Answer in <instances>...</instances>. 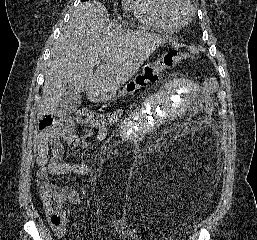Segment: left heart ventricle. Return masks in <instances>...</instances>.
I'll return each instance as SVG.
<instances>
[{
	"instance_id": "1",
	"label": "left heart ventricle",
	"mask_w": 257,
	"mask_h": 240,
	"mask_svg": "<svg viewBox=\"0 0 257 240\" xmlns=\"http://www.w3.org/2000/svg\"><path fill=\"white\" fill-rule=\"evenodd\" d=\"M186 11H187V9H186V7H184V6H181V7H179V9H178V12H179V14H180L181 16H184V15L186 14Z\"/></svg>"
}]
</instances>
